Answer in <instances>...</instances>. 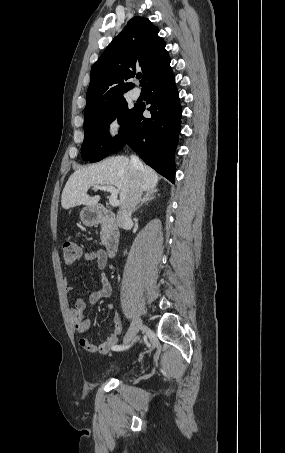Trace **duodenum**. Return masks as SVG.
Here are the masks:
<instances>
[{"label":"duodenum","instance_id":"410a0bca","mask_svg":"<svg viewBox=\"0 0 285 453\" xmlns=\"http://www.w3.org/2000/svg\"><path fill=\"white\" fill-rule=\"evenodd\" d=\"M92 220L95 223L104 225L105 233L103 237V244L107 254L109 256H114L120 242L117 217L115 213L104 206H96L93 209Z\"/></svg>","mask_w":285,"mask_h":453}]
</instances>
